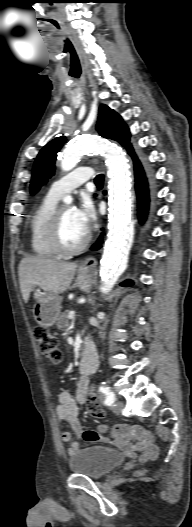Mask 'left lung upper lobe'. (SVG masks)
Wrapping results in <instances>:
<instances>
[{"mask_svg":"<svg viewBox=\"0 0 192 527\" xmlns=\"http://www.w3.org/2000/svg\"><path fill=\"white\" fill-rule=\"evenodd\" d=\"M96 129L101 136L118 141L127 150L132 148L129 143L130 132L127 125L123 122L120 115L104 104L99 108ZM64 141L65 137H58L45 145L38 154L33 167L30 185L32 194L36 193L41 185L54 174V163L57 152L60 150Z\"/></svg>","mask_w":192,"mask_h":527,"instance_id":"5c2ea615","label":"left lung upper lobe"}]
</instances>
